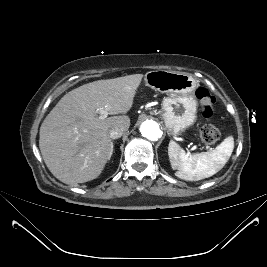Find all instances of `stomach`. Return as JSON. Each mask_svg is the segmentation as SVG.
I'll list each match as a JSON object with an SVG mask.
<instances>
[{
    "label": "stomach",
    "mask_w": 267,
    "mask_h": 267,
    "mask_svg": "<svg viewBox=\"0 0 267 267\" xmlns=\"http://www.w3.org/2000/svg\"><path fill=\"white\" fill-rule=\"evenodd\" d=\"M149 87L166 95L162 101V119L172 136L181 135L197 119L194 92L198 81L190 74L156 70L145 76Z\"/></svg>",
    "instance_id": "1"
}]
</instances>
